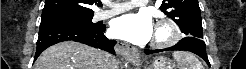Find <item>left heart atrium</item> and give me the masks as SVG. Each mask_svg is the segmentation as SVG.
<instances>
[{
	"label": "left heart atrium",
	"mask_w": 246,
	"mask_h": 69,
	"mask_svg": "<svg viewBox=\"0 0 246 69\" xmlns=\"http://www.w3.org/2000/svg\"><path fill=\"white\" fill-rule=\"evenodd\" d=\"M111 33L119 39L144 44L152 38L154 29L151 17L145 12H138L116 18Z\"/></svg>",
	"instance_id": "1"
}]
</instances>
